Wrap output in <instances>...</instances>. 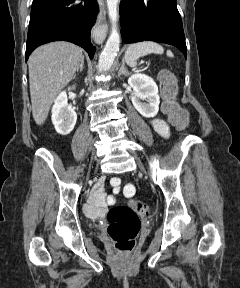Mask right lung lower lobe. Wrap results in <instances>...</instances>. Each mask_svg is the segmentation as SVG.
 Listing matches in <instances>:
<instances>
[{
  "instance_id": "1",
  "label": "right lung lower lobe",
  "mask_w": 240,
  "mask_h": 288,
  "mask_svg": "<svg viewBox=\"0 0 240 288\" xmlns=\"http://www.w3.org/2000/svg\"><path fill=\"white\" fill-rule=\"evenodd\" d=\"M98 10L96 0H33L26 60L38 46L59 40L81 46L92 59L96 48L90 33Z\"/></svg>"
}]
</instances>
